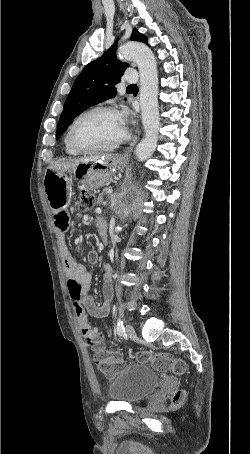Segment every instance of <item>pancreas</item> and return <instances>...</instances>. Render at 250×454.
<instances>
[{"label": "pancreas", "instance_id": "obj_1", "mask_svg": "<svg viewBox=\"0 0 250 454\" xmlns=\"http://www.w3.org/2000/svg\"><path fill=\"white\" fill-rule=\"evenodd\" d=\"M108 190H109V188H105V189L103 190V192L99 195V200H100V201L103 199L104 193L107 192Z\"/></svg>", "mask_w": 250, "mask_h": 454}]
</instances>
